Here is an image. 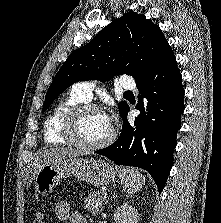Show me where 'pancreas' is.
Instances as JSON below:
<instances>
[{
  "instance_id": "pancreas-1",
  "label": "pancreas",
  "mask_w": 221,
  "mask_h": 223,
  "mask_svg": "<svg viewBox=\"0 0 221 223\" xmlns=\"http://www.w3.org/2000/svg\"><path fill=\"white\" fill-rule=\"evenodd\" d=\"M106 197L102 193L93 192L88 197H85L86 210L91 213L93 216H96L99 213V209L103 208V202Z\"/></svg>"
}]
</instances>
